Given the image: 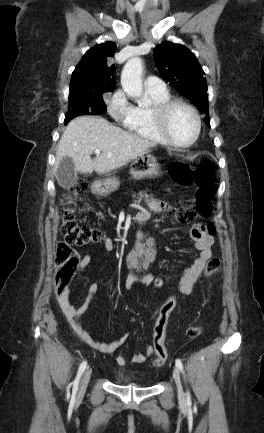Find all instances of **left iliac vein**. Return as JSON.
Returning a JSON list of instances; mask_svg holds the SVG:
<instances>
[{"label": "left iliac vein", "mask_w": 264, "mask_h": 433, "mask_svg": "<svg viewBox=\"0 0 264 433\" xmlns=\"http://www.w3.org/2000/svg\"><path fill=\"white\" fill-rule=\"evenodd\" d=\"M173 378L177 385L178 397L181 402H185V393L183 391L180 372L177 367L173 368Z\"/></svg>", "instance_id": "left-iliac-vein-1"}]
</instances>
